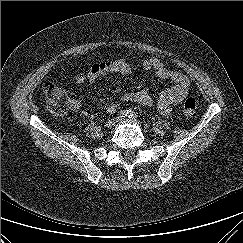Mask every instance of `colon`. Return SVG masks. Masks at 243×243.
<instances>
[{"label": "colon", "instance_id": "obj_1", "mask_svg": "<svg viewBox=\"0 0 243 243\" xmlns=\"http://www.w3.org/2000/svg\"><path fill=\"white\" fill-rule=\"evenodd\" d=\"M47 107L52 115L61 117L65 115L72 107L73 101L69 93L52 84L48 83L43 88ZM197 109L195 98L188 97L183 103V111L186 115H193Z\"/></svg>", "mask_w": 243, "mask_h": 243}]
</instances>
